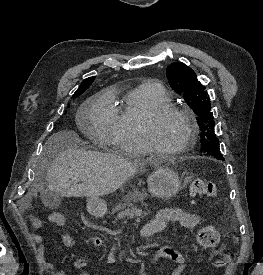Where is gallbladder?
<instances>
[{
	"instance_id": "bac80fb5",
	"label": "gallbladder",
	"mask_w": 263,
	"mask_h": 275,
	"mask_svg": "<svg viewBox=\"0 0 263 275\" xmlns=\"http://www.w3.org/2000/svg\"><path fill=\"white\" fill-rule=\"evenodd\" d=\"M41 201L49 209H56L60 204V195L54 191L46 190L41 194Z\"/></svg>"
}]
</instances>
